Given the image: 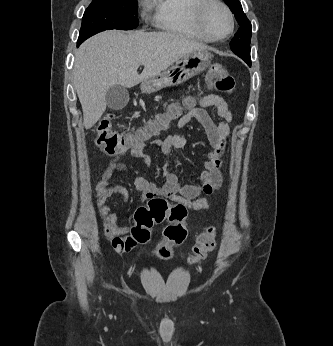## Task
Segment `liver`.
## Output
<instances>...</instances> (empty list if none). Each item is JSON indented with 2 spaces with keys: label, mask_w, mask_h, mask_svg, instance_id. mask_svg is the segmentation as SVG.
Returning a JSON list of instances; mask_svg holds the SVG:
<instances>
[{
  "label": "liver",
  "mask_w": 333,
  "mask_h": 346,
  "mask_svg": "<svg viewBox=\"0 0 333 346\" xmlns=\"http://www.w3.org/2000/svg\"><path fill=\"white\" fill-rule=\"evenodd\" d=\"M207 47L170 32L105 31L86 40L75 55L74 86L90 129L106 110L105 95L115 85L131 88ZM144 66L141 74L137 72Z\"/></svg>",
  "instance_id": "6515ba94"
}]
</instances>
